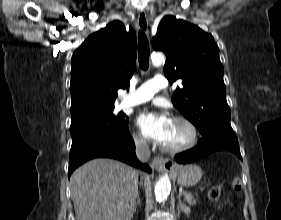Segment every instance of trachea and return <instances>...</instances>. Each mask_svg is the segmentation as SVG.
Wrapping results in <instances>:
<instances>
[{
	"label": "trachea",
	"instance_id": "obj_1",
	"mask_svg": "<svg viewBox=\"0 0 281 220\" xmlns=\"http://www.w3.org/2000/svg\"><path fill=\"white\" fill-rule=\"evenodd\" d=\"M149 43L143 31L138 34V59L141 69L147 70L149 67Z\"/></svg>",
	"mask_w": 281,
	"mask_h": 220
}]
</instances>
